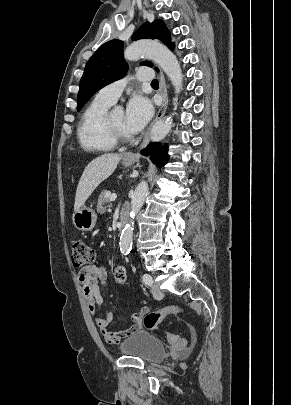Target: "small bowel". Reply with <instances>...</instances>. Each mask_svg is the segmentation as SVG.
<instances>
[{"label": "small bowel", "instance_id": "obj_1", "mask_svg": "<svg viewBox=\"0 0 291 405\" xmlns=\"http://www.w3.org/2000/svg\"><path fill=\"white\" fill-rule=\"evenodd\" d=\"M78 279L82 286L88 309L107 343L117 344L141 329L143 317L149 311L147 307H143L140 310L136 311L132 315L133 325L122 331H111L109 329L110 324L114 318L112 312H107L105 316H102L100 314V307L104 300L102 287L106 284L107 281V271L104 267H84L80 270Z\"/></svg>", "mask_w": 291, "mask_h": 405}]
</instances>
